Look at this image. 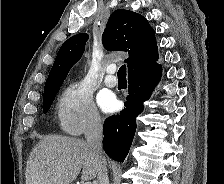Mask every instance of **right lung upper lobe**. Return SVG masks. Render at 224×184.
<instances>
[{"instance_id":"1","label":"right lung upper lobe","mask_w":224,"mask_h":184,"mask_svg":"<svg viewBox=\"0 0 224 184\" xmlns=\"http://www.w3.org/2000/svg\"><path fill=\"white\" fill-rule=\"evenodd\" d=\"M88 35L77 34L61 46L48 79L44 94L59 90L71 67L81 58ZM102 42L108 51L128 52L125 60L129 75L144 70L158 60L155 32L147 19L129 10L114 11L106 25Z\"/></svg>"}]
</instances>
